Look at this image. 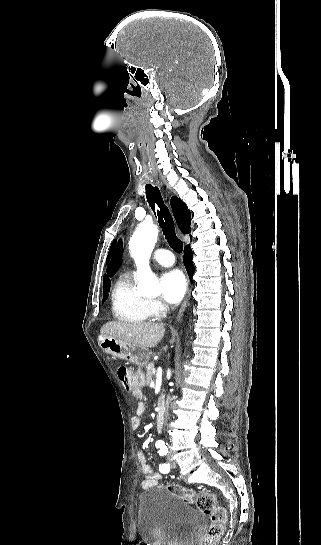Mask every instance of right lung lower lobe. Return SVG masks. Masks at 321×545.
Instances as JSON below:
<instances>
[{"instance_id":"right-lung-lower-lobe-1","label":"right lung lower lobe","mask_w":321,"mask_h":545,"mask_svg":"<svg viewBox=\"0 0 321 545\" xmlns=\"http://www.w3.org/2000/svg\"><path fill=\"white\" fill-rule=\"evenodd\" d=\"M192 238V237H191ZM184 265L186 267L187 273L192 280V275L194 273V265L192 262V250L189 245L184 248Z\"/></svg>"}]
</instances>
